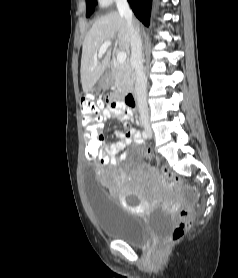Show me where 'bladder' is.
<instances>
[{
  "mask_svg": "<svg viewBox=\"0 0 238 278\" xmlns=\"http://www.w3.org/2000/svg\"><path fill=\"white\" fill-rule=\"evenodd\" d=\"M85 180H96L94 169L84 170ZM98 181H86L88 202L99 231L106 237L133 246L145 244L152 235L163 234L173 227L174 219L164 212L149 220L127 211Z\"/></svg>",
  "mask_w": 238,
  "mask_h": 278,
  "instance_id": "bladder-1",
  "label": "bladder"
}]
</instances>
